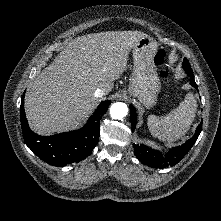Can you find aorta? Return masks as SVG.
Here are the masks:
<instances>
[{"instance_id": "1", "label": "aorta", "mask_w": 221, "mask_h": 221, "mask_svg": "<svg viewBox=\"0 0 221 221\" xmlns=\"http://www.w3.org/2000/svg\"><path fill=\"white\" fill-rule=\"evenodd\" d=\"M128 114V107L125 103L117 102L110 107V115L113 119L122 120Z\"/></svg>"}]
</instances>
